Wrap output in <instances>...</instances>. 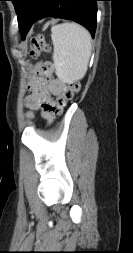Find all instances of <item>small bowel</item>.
I'll list each match as a JSON object with an SVG mask.
<instances>
[{"label":"small bowel","instance_id":"1","mask_svg":"<svg viewBox=\"0 0 133 253\" xmlns=\"http://www.w3.org/2000/svg\"><path fill=\"white\" fill-rule=\"evenodd\" d=\"M52 66L51 60H44L43 66L35 69L36 75L28 84L29 95L25 98L27 118H33L36 112H40L48 124L52 123L57 115L53 112L55 98L62 96L67 88L64 82L51 76Z\"/></svg>","mask_w":133,"mask_h":253}]
</instances>
